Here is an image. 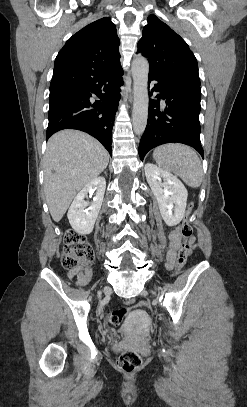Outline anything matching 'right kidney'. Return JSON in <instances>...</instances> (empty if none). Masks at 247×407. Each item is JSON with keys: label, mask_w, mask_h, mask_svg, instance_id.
<instances>
[{"label": "right kidney", "mask_w": 247, "mask_h": 407, "mask_svg": "<svg viewBox=\"0 0 247 407\" xmlns=\"http://www.w3.org/2000/svg\"><path fill=\"white\" fill-rule=\"evenodd\" d=\"M106 180L97 177L91 180L74 198L69 210L68 219L72 228L80 234H90L102 206ZM96 191L92 202L85 201L88 193Z\"/></svg>", "instance_id": "ca27d5eb"}]
</instances>
